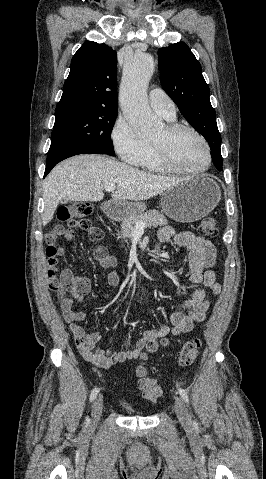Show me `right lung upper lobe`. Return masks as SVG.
<instances>
[{"mask_svg": "<svg viewBox=\"0 0 266 479\" xmlns=\"http://www.w3.org/2000/svg\"><path fill=\"white\" fill-rule=\"evenodd\" d=\"M116 51L105 44L86 41L71 61L56 113L117 111Z\"/></svg>", "mask_w": 266, "mask_h": 479, "instance_id": "1", "label": "right lung upper lobe"}]
</instances>
